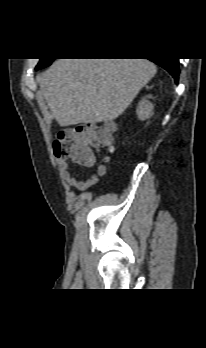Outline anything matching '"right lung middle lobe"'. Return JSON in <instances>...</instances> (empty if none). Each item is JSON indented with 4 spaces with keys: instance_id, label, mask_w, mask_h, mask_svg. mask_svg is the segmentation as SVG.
I'll list each match as a JSON object with an SVG mask.
<instances>
[{
    "instance_id": "right-lung-middle-lobe-1",
    "label": "right lung middle lobe",
    "mask_w": 206,
    "mask_h": 348,
    "mask_svg": "<svg viewBox=\"0 0 206 348\" xmlns=\"http://www.w3.org/2000/svg\"><path fill=\"white\" fill-rule=\"evenodd\" d=\"M54 59H40L38 65L36 66V69L44 68L52 63Z\"/></svg>"
}]
</instances>
